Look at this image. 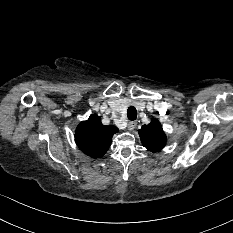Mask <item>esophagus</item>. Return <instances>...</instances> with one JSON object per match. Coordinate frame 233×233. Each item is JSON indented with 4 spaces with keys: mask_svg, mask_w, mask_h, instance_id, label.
Here are the masks:
<instances>
[{
    "mask_svg": "<svg viewBox=\"0 0 233 233\" xmlns=\"http://www.w3.org/2000/svg\"><path fill=\"white\" fill-rule=\"evenodd\" d=\"M136 125H137V122H136V121H130V122L128 123V130H130V131L134 130L135 127H136Z\"/></svg>",
    "mask_w": 233,
    "mask_h": 233,
    "instance_id": "esophagus-1",
    "label": "esophagus"
}]
</instances>
